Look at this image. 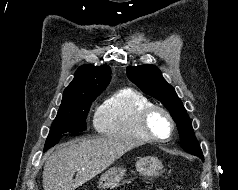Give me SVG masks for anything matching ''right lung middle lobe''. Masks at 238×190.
Masks as SVG:
<instances>
[{
	"instance_id": "obj_1",
	"label": "right lung middle lobe",
	"mask_w": 238,
	"mask_h": 190,
	"mask_svg": "<svg viewBox=\"0 0 238 190\" xmlns=\"http://www.w3.org/2000/svg\"><path fill=\"white\" fill-rule=\"evenodd\" d=\"M98 94L81 95L74 100L61 103L57 116L52 123L44 151L59 142L64 133H78L86 129V118L92 102Z\"/></svg>"
}]
</instances>
